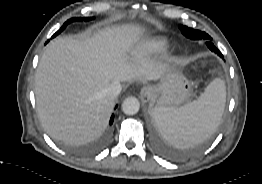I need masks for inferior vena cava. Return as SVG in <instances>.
I'll return each mask as SVG.
<instances>
[{
    "mask_svg": "<svg viewBox=\"0 0 262 184\" xmlns=\"http://www.w3.org/2000/svg\"><path fill=\"white\" fill-rule=\"evenodd\" d=\"M122 90V86L119 82H114L106 88V94L112 98L117 97Z\"/></svg>",
    "mask_w": 262,
    "mask_h": 184,
    "instance_id": "602c4592",
    "label": "inferior vena cava"
}]
</instances>
